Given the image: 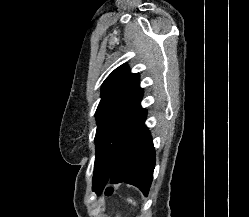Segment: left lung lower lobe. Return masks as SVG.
<instances>
[{
    "instance_id": "1",
    "label": "left lung lower lobe",
    "mask_w": 249,
    "mask_h": 217,
    "mask_svg": "<svg viewBox=\"0 0 249 217\" xmlns=\"http://www.w3.org/2000/svg\"><path fill=\"white\" fill-rule=\"evenodd\" d=\"M146 110L139 104L120 126L114 165L110 172L102 167L94 171L95 192L100 195L108 181L137 186L147 196L153 179L155 150L148 128Z\"/></svg>"
}]
</instances>
